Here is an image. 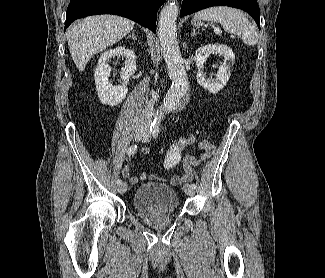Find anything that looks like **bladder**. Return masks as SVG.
Instances as JSON below:
<instances>
[{
    "label": "bladder",
    "instance_id": "31cf9c89",
    "mask_svg": "<svg viewBox=\"0 0 325 278\" xmlns=\"http://www.w3.org/2000/svg\"><path fill=\"white\" fill-rule=\"evenodd\" d=\"M133 206L144 213H170L178 210L179 197L177 191L168 184L148 182L136 188Z\"/></svg>",
    "mask_w": 325,
    "mask_h": 278
}]
</instances>
